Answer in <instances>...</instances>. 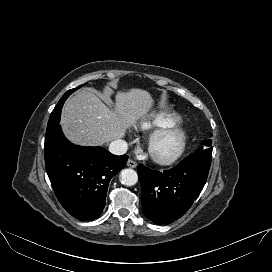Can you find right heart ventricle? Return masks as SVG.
<instances>
[{
  "instance_id": "obj_1",
  "label": "right heart ventricle",
  "mask_w": 272,
  "mask_h": 272,
  "mask_svg": "<svg viewBox=\"0 0 272 272\" xmlns=\"http://www.w3.org/2000/svg\"><path fill=\"white\" fill-rule=\"evenodd\" d=\"M180 121L179 116L168 111H157L149 115L140 126L143 130H160L176 124Z\"/></svg>"
}]
</instances>
